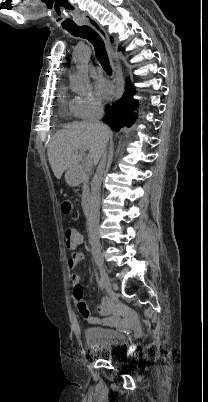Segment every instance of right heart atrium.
Returning a JSON list of instances; mask_svg holds the SVG:
<instances>
[{
	"instance_id": "right-heart-atrium-1",
	"label": "right heart atrium",
	"mask_w": 208,
	"mask_h": 402,
	"mask_svg": "<svg viewBox=\"0 0 208 402\" xmlns=\"http://www.w3.org/2000/svg\"><path fill=\"white\" fill-rule=\"evenodd\" d=\"M74 104L77 116L81 120L91 119L102 110V103L92 90L78 92L74 98Z\"/></svg>"
}]
</instances>
